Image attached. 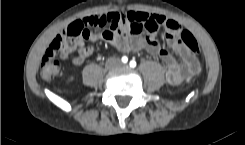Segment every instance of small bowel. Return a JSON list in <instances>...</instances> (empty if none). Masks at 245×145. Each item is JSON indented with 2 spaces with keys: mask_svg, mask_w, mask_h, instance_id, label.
I'll return each instance as SVG.
<instances>
[{
  "mask_svg": "<svg viewBox=\"0 0 245 145\" xmlns=\"http://www.w3.org/2000/svg\"><path fill=\"white\" fill-rule=\"evenodd\" d=\"M158 14H151L142 11H121L110 12L96 18L99 31L90 32L88 38L92 42L105 40L123 52H128L132 49H145L149 54L159 56L166 65V79L170 84H180L186 79L196 76L200 73V63L195 56L181 41L176 31L167 29L164 22V27L167 29L164 38L166 45L172 49L180 58L176 61L172 54L162 48L153 31L146 30L143 36L129 38L126 24L131 21H137L142 26H146L149 19ZM169 19L165 16H162ZM82 19L81 21L85 20ZM103 23V24H102ZM119 32V33H118ZM93 54L92 47H85L84 41L79 44L78 53L72 57L74 64H82L87 58Z\"/></svg>",
  "mask_w": 245,
  "mask_h": 145,
  "instance_id": "small-bowel-1",
  "label": "small bowel"
}]
</instances>
